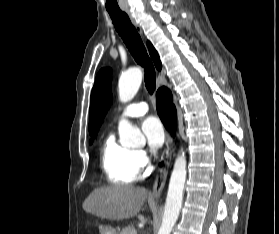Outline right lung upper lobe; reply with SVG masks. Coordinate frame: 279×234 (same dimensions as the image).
<instances>
[{"label": "right lung upper lobe", "mask_w": 279, "mask_h": 234, "mask_svg": "<svg viewBox=\"0 0 279 234\" xmlns=\"http://www.w3.org/2000/svg\"><path fill=\"white\" fill-rule=\"evenodd\" d=\"M147 46L149 49L150 56H151L152 60L154 61L156 68L158 70H161L162 64H161L157 51L154 49V47L152 46V44L149 41L147 42Z\"/></svg>", "instance_id": "cb5924a9"}]
</instances>
